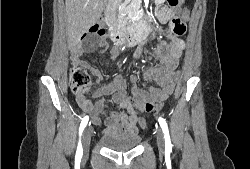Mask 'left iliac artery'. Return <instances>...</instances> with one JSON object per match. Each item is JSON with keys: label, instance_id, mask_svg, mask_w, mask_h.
I'll use <instances>...</instances> for the list:
<instances>
[{"label": "left iliac artery", "instance_id": "1", "mask_svg": "<svg viewBox=\"0 0 250 169\" xmlns=\"http://www.w3.org/2000/svg\"><path fill=\"white\" fill-rule=\"evenodd\" d=\"M159 121V124L163 130V133H164V138H165V150L167 151H172V144H171V141H170V136H169V130H168V126H167V123L165 121V119L163 118H159L158 119Z\"/></svg>", "mask_w": 250, "mask_h": 169}]
</instances>
